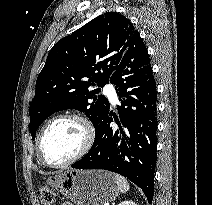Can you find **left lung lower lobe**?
I'll return each mask as SVG.
<instances>
[{
	"mask_svg": "<svg viewBox=\"0 0 212 205\" xmlns=\"http://www.w3.org/2000/svg\"><path fill=\"white\" fill-rule=\"evenodd\" d=\"M109 82L115 84L121 106L122 126L110 127L113 113L106 112L95 128L90 151L72 165L77 169H104L116 172L139 186L149 203L157 147V91L146 46L139 33L133 37Z\"/></svg>",
	"mask_w": 212,
	"mask_h": 205,
	"instance_id": "obj_1",
	"label": "left lung lower lobe"
}]
</instances>
